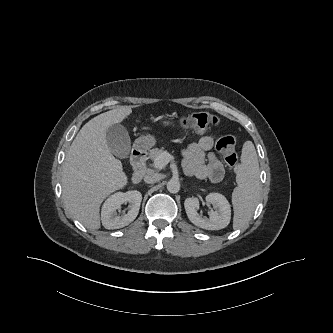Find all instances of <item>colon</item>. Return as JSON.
Segmentation results:
<instances>
[{
    "mask_svg": "<svg viewBox=\"0 0 333 333\" xmlns=\"http://www.w3.org/2000/svg\"><path fill=\"white\" fill-rule=\"evenodd\" d=\"M181 125L190 131H206L219 125V119L208 113L197 112L181 119ZM216 150L223 157L224 162L233 167L237 163L236 140L234 136L225 134L216 142Z\"/></svg>",
    "mask_w": 333,
    "mask_h": 333,
    "instance_id": "1",
    "label": "colon"
}]
</instances>
